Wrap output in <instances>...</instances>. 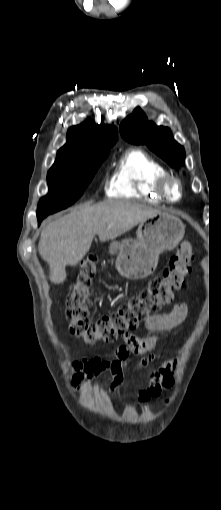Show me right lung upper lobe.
I'll use <instances>...</instances> for the list:
<instances>
[{
    "label": "right lung upper lobe",
    "instance_id": "right-lung-upper-lobe-1",
    "mask_svg": "<svg viewBox=\"0 0 221 510\" xmlns=\"http://www.w3.org/2000/svg\"><path fill=\"white\" fill-rule=\"evenodd\" d=\"M117 138L118 132L115 126L96 125L94 122H84L73 126L68 130V141L57 152L55 162L105 153L110 151Z\"/></svg>",
    "mask_w": 221,
    "mask_h": 510
}]
</instances>
